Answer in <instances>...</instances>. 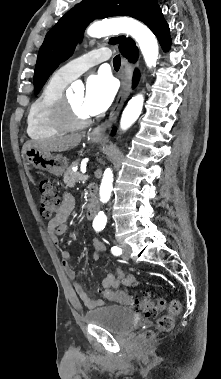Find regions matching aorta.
Instances as JSON below:
<instances>
[{
	"label": "aorta",
	"instance_id": "obj_1",
	"mask_svg": "<svg viewBox=\"0 0 221 379\" xmlns=\"http://www.w3.org/2000/svg\"><path fill=\"white\" fill-rule=\"evenodd\" d=\"M126 33L132 36L138 43L143 54L146 65L151 68L156 66L159 49L155 35L152 31L141 22L128 17L110 19L97 22L89 26L87 34L91 37L99 38L111 34ZM144 103L142 94L132 97L125 107L121 120L120 128L128 129L140 116ZM113 189V172L111 168L104 171L100 185V201L106 203L109 201ZM107 222V217L103 211H100L94 218L95 227L102 228Z\"/></svg>",
	"mask_w": 221,
	"mask_h": 379
}]
</instances>
